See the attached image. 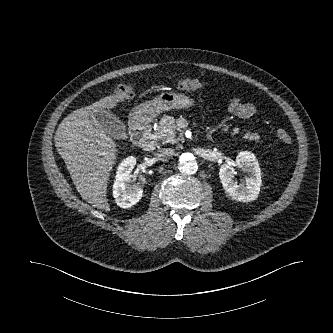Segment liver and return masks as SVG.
Returning a JSON list of instances; mask_svg holds the SVG:
<instances>
[{
    "instance_id": "1",
    "label": "liver",
    "mask_w": 333,
    "mask_h": 333,
    "mask_svg": "<svg viewBox=\"0 0 333 333\" xmlns=\"http://www.w3.org/2000/svg\"><path fill=\"white\" fill-rule=\"evenodd\" d=\"M113 94L68 115L56 134V146L81 197L94 207L110 211L106 198L109 173L116 159V143L93 125L97 109H112L119 99Z\"/></svg>"
}]
</instances>
